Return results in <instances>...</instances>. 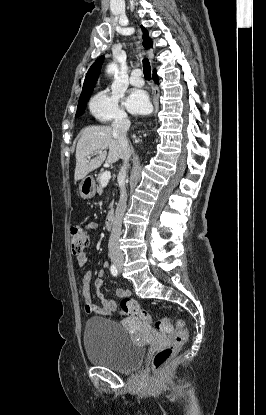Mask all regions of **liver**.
Listing matches in <instances>:
<instances>
[{"mask_svg": "<svg viewBox=\"0 0 266 415\" xmlns=\"http://www.w3.org/2000/svg\"><path fill=\"white\" fill-rule=\"evenodd\" d=\"M109 149L108 155L105 151ZM102 154L88 160V156L97 151ZM123 149L113 135V128L110 126H88L81 131V137L76 147V168L75 181L85 178L90 172L97 169L105 161L112 164L122 158ZM107 157V158H106Z\"/></svg>", "mask_w": 266, "mask_h": 415, "instance_id": "liver-1", "label": "liver"}]
</instances>
